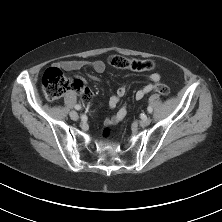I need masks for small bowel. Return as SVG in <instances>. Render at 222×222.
Wrapping results in <instances>:
<instances>
[{
  "mask_svg": "<svg viewBox=\"0 0 222 222\" xmlns=\"http://www.w3.org/2000/svg\"><path fill=\"white\" fill-rule=\"evenodd\" d=\"M58 67L68 72L77 71L85 67H91L92 70L96 73H103L106 68L105 63L101 60H95V61L64 60L58 63ZM160 79L161 77L158 73H152L151 75H149L148 76L149 83L136 91L135 98L137 100H140L145 95L153 91L155 85L159 84ZM79 81L85 83V80L83 78H79ZM126 93H127V86L126 85L120 86L116 90V93L110 97L108 102L109 107L111 109H115L119 105L121 99L126 95ZM126 115H127V109L125 106H122L115 113L109 116L105 122L108 125H115L121 122Z\"/></svg>",
  "mask_w": 222,
  "mask_h": 222,
  "instance_id": "1",
  "label": "small bowel"
}]
</instances>
